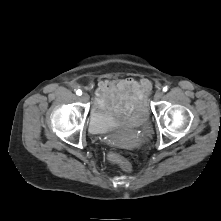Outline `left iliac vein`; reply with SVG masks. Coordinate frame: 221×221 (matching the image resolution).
I'll return each instance as SVG.
<instances>
[{
    "mask_svg": "<svg viewBox=\"0 0 221 221\" xmlns=\"http://www.w3.org/2000/svg\"><path fill=\"white\" fill-rule=\"evenodd\" d=\"M163 96V91L162 90H157L155 95H154V99L157 101V100H160Z\"/></svg>",
    "mask_w": 221,
    "mask_h": 221,
    "instance_id": "obj_1",
    "label": "left iliac vein"
}]
</instances>
